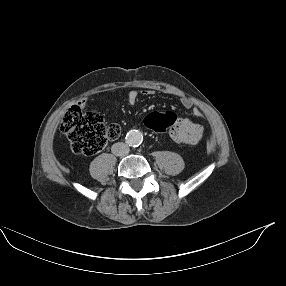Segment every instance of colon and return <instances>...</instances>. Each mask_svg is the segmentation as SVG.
Listing matches in <instances>:
<instances>
[{"instance_id":"5ec220e1","label":"colon","mask_w":286,"mask_h":286,"mask_svg":"<svg viewBox=\"0 0 286 286\" xmlns=\"http://www.w3.org/2000/svg\"><path fill=\"white\" fill-rule=\"evenodd\" d=\"M180 120L174 112L153 111L146 116L145 125L150 132L158 133L172 129ZM60 129L69 139L73 152L86 156L97 154L108 141L121 135L118 124H107L99 114L83 112L76 106L65 113Z\"/></svg>"}]
</instances>
